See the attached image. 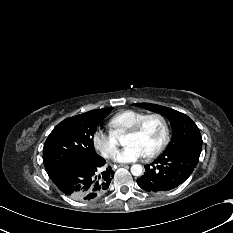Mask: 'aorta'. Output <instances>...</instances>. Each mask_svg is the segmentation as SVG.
Here are the masks:
<instances>
[{
  "label": "aorta",
  "instance_id": "762f6f07",
  "mask_svg": "<svg viewBox=\"0 0 233 233\" xmlns=\"http://www.w3.org/2000/svg\"><path fill=\"white\" fill-rule=\"evenodd\" d=\"M142 166L140 164H134L131 166V173L134 176H140L142 174Z\"/></svg>",
  "mask_w": 233,
  "mask_h": 233
}]
</instances>
